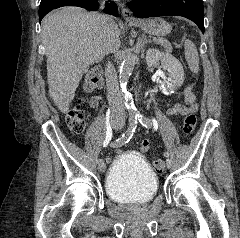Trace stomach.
<instances>
[{
	"label": "stomach",
	"mask_w": 240,
	"mask_h": 238,
	"mask_svg": "<svg viewBox=\"0 0 240 238\" xmlns=\"http://www.w3.org/2000/svg\"><path fill=\"white\" fill-rule=\"evenodd\" d=\"M133 25L139 27L143 32L154 36H165L171 32L172 26L162 18L140 20Z\"/></svg>",
	"instance_id": "0dacf381"
}]
</instances>
